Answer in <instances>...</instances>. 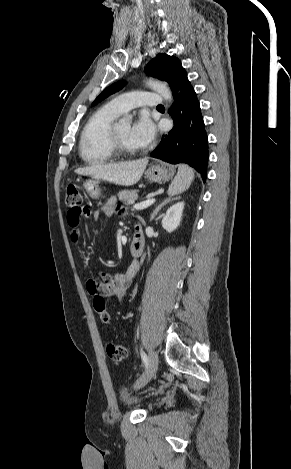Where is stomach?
<instances>
[{
  "instance_id": "0dacf381",
  "label": "stomach",
  "mask_w": 291,
  "mask_h": 469,
  "mask_svg": "<svg viewBox=\"0 0 291 469\" xmlns=\"http://www.w3.org/2000/svg\"><path fill=\"white\" fill-rule=\"evenodd\" d=\"M146 177L151 182H163L167 181L174 175L172 168H166L160 165H153L148 168L145 172ZM101 179L90 178L84 183V188L88 192L89 196L93 199L104 198L105 194L100 186Z\"/></svg>"
}]
</instances>
